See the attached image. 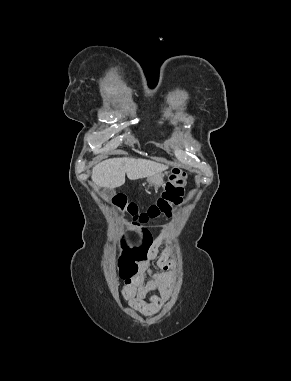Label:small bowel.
I'll use <instances>...</instances> for the list:
<instances>
[{
	"label": "small bowel",
	"instance_id": "c3829d8e",
	"mask_svg": "<svg viewBox=\"0 0 291 381\" xmlns=\"http://www.w3.org/2000/svg\"><path fill=\"white\" fill-rule=\"evenodd\" d=\"M144 237L137 260L138 270L123 281L121 293L131 308L143 314L152 315L162 308L170 296L174 276L169 271L173 263L169 259V248L159 251L164 241L163 236L152 240L145 233ZM153 261L158 271L151 268ZM150 293L152 294L149 295Z\"/></svg>",
	"mask_w": 291,
	"mask_h": 381
}]
</instances>
